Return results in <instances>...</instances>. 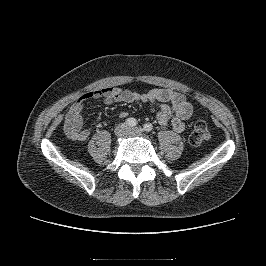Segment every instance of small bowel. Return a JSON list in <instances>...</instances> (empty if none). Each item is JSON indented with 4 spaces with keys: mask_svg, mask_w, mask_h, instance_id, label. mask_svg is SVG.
<instances>
[{
    "mask_svg": "<svg viewBox=\"0 0 266 266\" xmlns=\"http://www.w3.org/2000/svg\"><path fill=\"white\" fill-rule=\"evenodd\" d=\"M98 99H102L107 105L120 102H143L155 105L153 112L159 124L163 126L170 124L178 133L185 130V122L193 115V106L186 96L172 89L155 88L139 94L118 87H105L84 93L70 106L64 117V131L69 138L76 141H85L89 138L91 129L84 126L82 112L87 101ZM119 116L125 117L126 112L121 111Z\"/></svg>",
    "mask_w": 266,
    "mask_h": 266,
    "instance_id": "c3829d8e",
    "label": "small bowel"
}]
</instances>
